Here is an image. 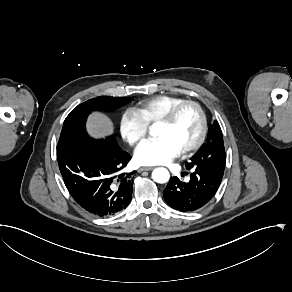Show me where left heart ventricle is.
<instances>
[{
  "instance_id": "1",
  "label": "left heart ventricle",
  "mask_w": 292,
  "mask_h": 292,
  "mask_svg": "<svg viewBox=\"0 0 292 292\" xmlns=\"http://www.w3.org/2000/svg\"><path fill=\"white\" fill-rule=\"evenodd\" d=\"M199 131V116L192 106L183 107L169 124L155 123L156 136H167L182 150L192 144Z\"/></svg>"
}]
</instances>
